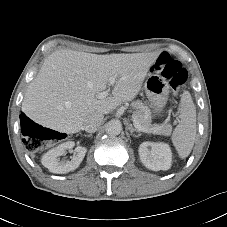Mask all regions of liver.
I'll return each mask as SVG.
<instances>
[{
  "label": "liver",
  "mask_w": 227,
  "mask_h": 227,
  "mask_svg": "<svg viewBox=\"0 0 227 227\" xmlns=\"http://www.w3.org/2000/svg\"><path fill=\"white\" fill-rule=\"evenodd\" d=\"M157 53L97 55L58 50L43 62L29 84L22 111L34 122L58 132L74 134L82 130L86 118L108 114L139 93ZM117 79L112 95H97Z\"/></svg>",
  "instance_id": "obj_1"
}]
</instances>
